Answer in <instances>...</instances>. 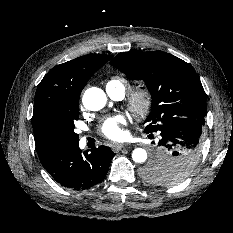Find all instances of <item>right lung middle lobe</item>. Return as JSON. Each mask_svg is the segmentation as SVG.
<instances>
[{
	"label": "right lung middle lobe",
	"mask_w": 233,
	"mask_h": 233,
	"mask_svg": "<svg viewBox=\"0 0 233 233\" xmlns=\"http://www.w3.org/2000/svg\"><path fill=\"white\" fill-rule=\"evenodd\" d=\"M78 118L77 105L44 117L39 122L35 139L38 152L59 151L78 144L79 135L74 133V121Z\"/></svg>",
	"instance_id": "1"
}]
</instances>
